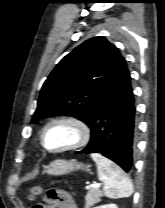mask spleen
Wrapping results in <instances>:
<instances>
[{
    "mask_svg": "<svg viewBox=\"0 0 165 208\" xmlns=\"http://www.w3.org/2000/svg\"><path fill=\"white\" fill-rule=\"evenodd\" d=\"M97 165L98 178L103 182L104 195L109 198H126L133 193L131 180L122 169L99 153L91 154Z\"/></svg>",
    "mask_w": 165,
    "mask_h": 208,
    "instance_id": "1",
    "label": "spleen"
}]
</instances>
